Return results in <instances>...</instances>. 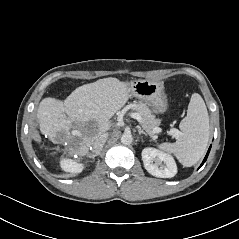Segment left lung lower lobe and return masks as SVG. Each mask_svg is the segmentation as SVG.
I'll list each match as a JSON object with an SVG mask.
<instances>
[{
  "label": "left lung lower lobe",
  "instance_id": "0a47b994",
  "mask_svg": "<svg viewBox=\"0 0 239 239\" xmlns=\"http://www.w3.org/2000/svg\"><path fill=\"white\" fill-rule=\"evenodd\" d=\"M210 149H211V146L209 147V150H208V152H207V154H206V156H205V158H204V160H203L201 166L205 163V161H206V159H207V157H208V154H209V152H210ZM201 166H200V167H201Z\"/></svg>",
  "mask_w": 239,
  "mask_h": 239
}]
</instances>
